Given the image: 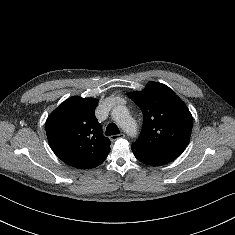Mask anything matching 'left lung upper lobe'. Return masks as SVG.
Segmentation results:
<instances>
[{
	"instance_id": "obj_1",
	"label": "left lung upper lobe",
	"mask_w": 235,
	"mask_h": 235,
	"mask_svg": "<svg viewBox=\"0 0 235 235\" xmlns=\"http://www.w3.org/2000/svg\"><path fill=\"white\" fill-rule=\"evenodd\" d=\"M143 112V127L131 146L142 152L177 158L189 143L192 115L166 85L149 82L141 92L128 95Z\"/></svg>"
}]
</instances>
